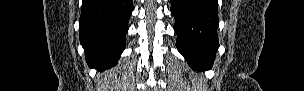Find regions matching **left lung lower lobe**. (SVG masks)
I'll list each match as a JSON object with an SVG mask.
<instances>
[{
	"mask_svg": "<svg viewBox=\"0 0 304 91\" xmlns=\"http://www.w3.org/2000/svg\"><path fill=\"white\" fill-rule=\"evenodd\" d=\"M217 0H171L176 46L197 71L212 68L219 47Z\"/></svg>",
	"mask_w": 304,
	"mask_h": 91,
	"instance_id": "0a47b994",
	"label": "left lung lower lobe"
}]
</instances>
